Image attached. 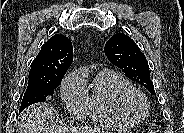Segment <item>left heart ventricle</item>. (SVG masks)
Listing matches in <instances>:
<instances>
[{"mask_svg":"<svg viewBox=\"0 0 184 133\" xmlns=\"http://www.w3.org/2000/svg\"><path fill=\"white\" fill-rule=\"evenodd\" d=\"M129 105H130L131 109L138 114L142 113L144 110L143 104L141 103V101L138 98L131 99Z\"/></svg>","mask_w":184,"mask_h":133,"instance_id":"1","label":"left heart ventricle"}]
</instances>
